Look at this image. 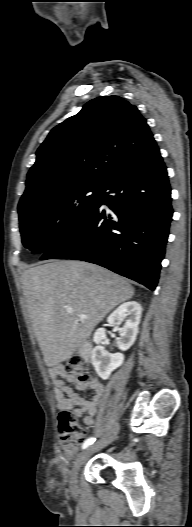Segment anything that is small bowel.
Returning a JSON list of instances; mask_svg holds the SVG:
<instances>
[{"mask_svg": "<svg viewBox=\"0 0 192 527\" xmlns=\"http://www.w3.org/2000/svg\"><path fill=\"white\" fill-rule=\"evenodd\" d=\"M50 376L57 385L59 408L70 410L75 416L82 417L85 425L93 426L97 407L105 392L103 384L97 379L81 382L60 366L53 367ZM76 390L91 391L93 396L86 400Z\"/></svg>", "mask_w": 192, "mask_h": 527, "instance_id": "c3829d8e", "label": "small bowel"}]
</instances>
